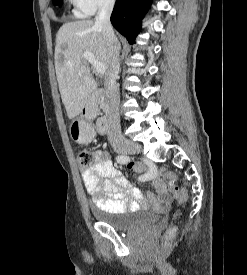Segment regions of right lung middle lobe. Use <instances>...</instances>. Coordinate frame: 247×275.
Listing matches in <instances>:
<instances>
[{
  "label": "right lung middle lobe",
  "instance_id": "1",
  "mask_svg": "<svg viewBox=\"0 0 247 275\" xmlns=\"http://www.w3.org/2000/svg\"><path fill=\"white\" fill-rule=\"evenodd\" d=\"M53 3H54L55 5L61 6L62 0H53Z\"/></svg>",
  "mask_w": 247,
  "mask_h": 275
}]
</instances>
